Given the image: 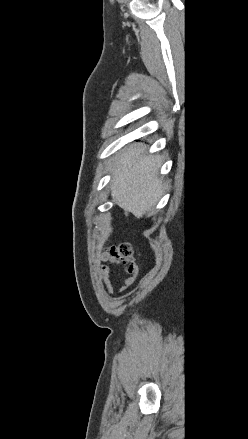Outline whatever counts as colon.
Masks as SVG:
<instances>
[{
    "label": "colon",
    "instance_id": "5ec220e1",
    "mask_svg": "<svg viewBox=\"0 0 248 439\" xmlns=\"http://www.w3.org/2000/svg\"><path fill=\"white\" fill-rule=\"evenodd\" d=\"M118 250L131 262H134L133 260V253L132 249L128 244H122Z\"/></svg>",
    "mask_w": 248,
    "mask_h": 439
}]
</instances>
